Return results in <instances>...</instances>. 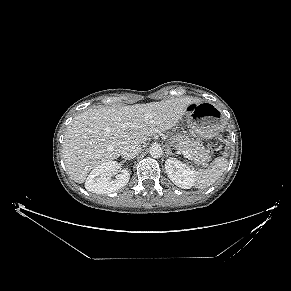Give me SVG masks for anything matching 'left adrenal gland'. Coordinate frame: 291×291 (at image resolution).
<instances>
[{"mask_svg": "<svg viewBox=\"0 0 291 291\" xmlns=\"http://www.w3.org/2000/svg\"><path fill=\"white\" fill-rule=\"evenodd\" d=\"M166 154L168 155H174V153L172 152L171 148L169 146H166Z\"/></svg>", "mask_w": 291, "mask_h": 291, "instance_id": "a2214340", "label": "left adrenal gland"}]
</instances>
